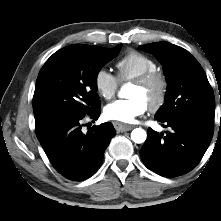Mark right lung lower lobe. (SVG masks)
<instances>
[{
    "label": "right lung lower lobe",
    "mask_w": 221,
    "mask_h": 221,
    "mask_svg": "<svg viewBox=\"0 0 221 221\" xmlns=\"http://www.w3.org/2000/svg\"><path fill=\"white\" fill-rule=\"evenodd\" d=\"M100 106L84 116L58 121L38 137L53 167L71 181H82L100 168L104 151L116 131L110 122L82 132L83 118L97 120Z\"/></svg>",
    "instance_id": "obj_1"
}]
</instances>
